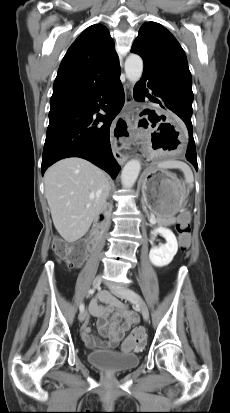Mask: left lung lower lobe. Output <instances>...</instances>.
<instances>
[{"label":"left lung lower lobe","instance_id":"0a47b994","mask_svg":"<svg viewBox=\"0 0 230 413\" xmlns=\"http://www.w3.org/2000/svg\"><path fill=\"white\" fill-rule=\"evenodd\" d=\"M145 81L147 82V86L152 90V93L157 97H152L150 99L152 102L159 103L161 107L168 109L172 111L174 114H176L186 125L188 134H189V143L187 147V152H186V159L193 164L195 169L197 170L198 165H197V157H196V149H195V142L193 138V130H192V123H191V114H189L181 105L168 100L166 98H163L160 96V94L157 92L156 88L154 87L153 81L146 77L142 76L141 81L135 86L134 88V99L138 102H142L144 100V96L147 93V90L143 89L145 88L146 84ZM143 91V94H142ZM146 92V93H144Z\"/></svg>","mask_w":230,"mask_h":413}]
</instances>
